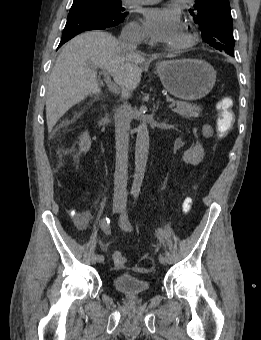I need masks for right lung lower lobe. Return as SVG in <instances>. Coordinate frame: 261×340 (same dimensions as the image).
<instances>
[{"instance_id": "right-lung-lower-lobe-1", "label": "right lung lower lobe", "mask_w": 261, "mask_h": 340, "mask_svg": "<svg viewBox=\"0 0 261 340\" xmlns=\"http://www.w3.org/2000/svg\"><path fill=\"white\" fill-rule=\"evenodd\" d=\"M121 22L104 19L98 14L86 10L70 11L67 18V23L62 33V39L59 47L76 36L77 34L88 30H102L109 27H114Z\"/></svg>"}]
</instances>
